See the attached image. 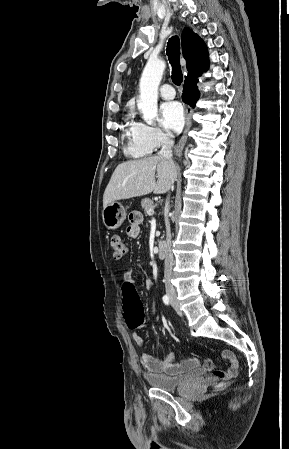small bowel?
Listing matches in <instances>:
<instances>
[{
	"label": "small bowel",
	"mask_w": 289,
	"mask_h": 449,
	"mask_svg": "<svg viewBox=\"0 0 289 449\" xmlns=\"http://www.w3.org/2000/svg\"><path fill=\"white\" fill-rule=\"evenodd\" d=\"M141 220V215L138 213H131L129 215V225L126 229L128 238L135 239L138 237ZM123 282L135 283V274L132 269H128L124 273ZM146 285L148 289H152V280L148 279ZM132 337L140 348H144L145 341L138 332L134 331ZM220 359L226 361L228 366L225 369L214 370V376L225 380L234 378L239 369V362L236 355L230 350H224L221 353ZM141 364L148 374H165L169 376L178 375L194 368H202L204 370H213L214 368V361L211 359H207L201 363L197 358H189L180 363H176L173 354L155 359L146 352H142L141 354Z\"/></svg>",
	"instance_id": "obj_1"
}]
</instances>
